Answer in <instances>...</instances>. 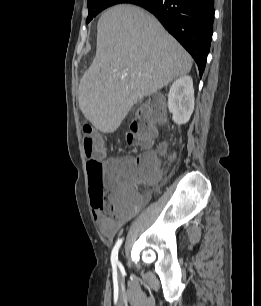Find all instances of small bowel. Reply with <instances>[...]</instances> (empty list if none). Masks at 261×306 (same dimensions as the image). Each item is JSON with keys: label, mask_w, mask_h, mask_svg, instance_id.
I'll return each mask as SVG.
<instances>
[{"label": "small bowel", "mask_w": 261, "mask_h": 306, "mask_svg": "<svg viewBox=\"0 0 261 306\" xmlns=\"http://www.w3.org/2000/svg\"><path fill=\"white\" fill-rule=\"evenodd\" d=\"M153 159L157 166L158 159L154 153H148ZM134 158H114L109 161H125L131 162ZM150 193H145L144 195H138L133 193V196L122 202L116 209L111 212L95 210L93 211V217L98 223L99 229L103 236L106 238H113L118 230L146 203L149 199Z\"/></svg>", "instance_id": "obj_1"}]
</instances>
